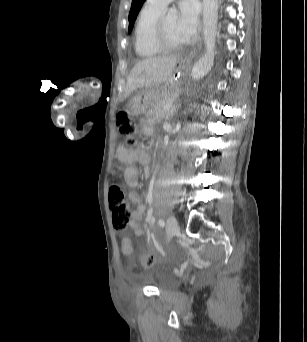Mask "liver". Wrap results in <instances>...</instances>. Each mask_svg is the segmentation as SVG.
I'll use <instances>...</instances> for the list:
<instances>
[{"label":"liver","instance_id":"1","mask_svg":"<svg viewBox=\"0 0 307 342\" xmlns=\"http://www.w3.org/2000/svg\"><path fill=\"white\" fill-rule=\"evenodd\" d=\"M176 62L177 56L139 60L127 78L123 98H128L138 88H153L165 84L171 78Z\"/></svg>","mask_w":307,"mask_h":342}]
</instances>
